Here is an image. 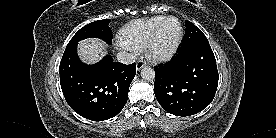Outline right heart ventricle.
Wrapping results in <instances>:
<instances>
[{
  "label": "right heart ventricle",
  "mask_w": 276,
  "mask_h": 138,
  "mask_svg": "<svg viewBox=\"0 0 276 138\" xmlns=\"http://www.w3.org/2000/svg\"><path fill=\"white\" fill-rule=\"evenodd\" d=\"M167 16H155L147 19L137 20L126 25L119 34V43L133 50L146 48L156 27Z\"/></svg>",
  "instance_id": "1"
}]
</instances>
